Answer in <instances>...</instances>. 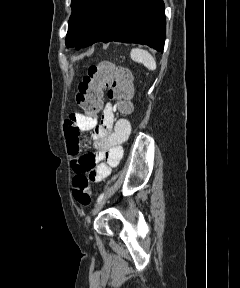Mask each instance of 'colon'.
<instances>
[{
	"label": "colon",
	"mask_w": 240,
	"mask_h": 288,
	"mask_svg": "<svg viewBox=\"0 0 240 288\" xmlns=\"http://www.w3.org/2000/svg\"><path fill=\"white\" fill-rule=\"evenodd\" d=\"M103 88H108V97L117 101L118 110L128 113L132 93L131 76L128 70L110 63H101L89 67L87 74L78 85L76 102L85 115L95 117L102 108ZM72 194L83 206L91 202V190L88 178L78 174L73 178Z\"/></svg>",
	"instance_id": "colon-1"
}]
</instances>
